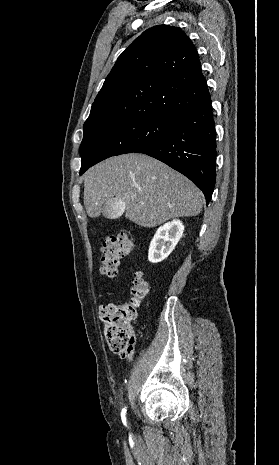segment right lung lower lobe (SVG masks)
Here are the masks:
<instances>
[{"instance_id": "98d812e1", "label": "right lung lower lobe", "mask_w": 279, "mask_h": 465, "mask_svg": "<svg viewBox=\"0 0 279 465\" xmlns=\"http://www.w3.org/2000/svg\"><path fill=\"white\" fill-rule=\"evenodd\" d=\"M209 97L173 120L170 131L138 153L152 156L188 177L211 200L216 180V131Z\"/></svg>"}]
</instances>
